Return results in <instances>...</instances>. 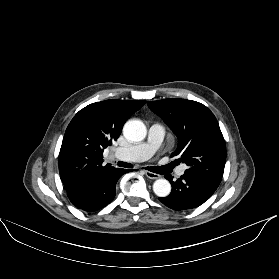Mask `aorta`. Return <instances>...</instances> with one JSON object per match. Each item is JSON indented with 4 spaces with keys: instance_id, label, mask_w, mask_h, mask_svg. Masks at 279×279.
<instances>
[{
    "instance_id": "1",
    "label": "aorta",
    "mask_w": 279,
    "mask_h": 279,
    "mask_svg": "<svg viewBox=\"0 0 279 279\" xmlns=\"http://www.w3.org/2000/svg\"><path fill=\"white\" fill-rule=\"evenodd\" d=\"M123 134L130 141H142L146 136V126L140 120H129L124 125ZM153 191L158 197H166L171 192V184L166 179H158L153 184Z\"/></svg>"
}]
</instances>
